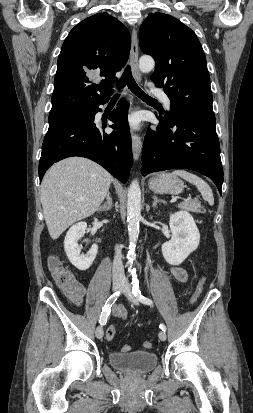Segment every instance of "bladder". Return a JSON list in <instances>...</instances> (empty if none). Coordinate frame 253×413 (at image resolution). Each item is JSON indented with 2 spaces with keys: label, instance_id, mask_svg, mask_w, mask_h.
<instances>
[{
  "label": "bladder",
  "instance_id": "bladder-1",
  "mask_svg": "<svg viewBox=\"0 0 253 413\" xmlns=\"http://www.w3.org/2000/svg\"><path fill=\"white\" fill-rule=\"evenodd\" d=\"M108 360L113 368L135 375L150 372L158 363L157 355L151 351L112 352Z\"/></svg>",
  "mask_w": 253,
  "mask_h": 413
}]
</instances>
